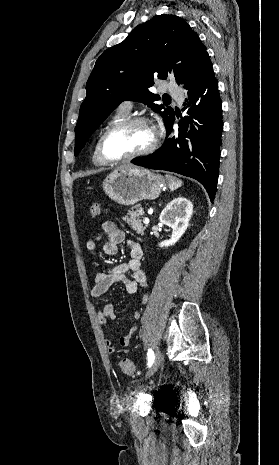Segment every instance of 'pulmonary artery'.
<instances>
[{
	"mask_svg": "<svg viewBox=\"0 0 279 465\" xmlns=\"http://www.w3.org/2000/svg\"><path fill=\"white\" fill-rule=\"evenodd\" d=\"M169 92L172 96H174L179 102L182 101L183 99V94L182 91L175 87V86H170L169 87ZM120 108H122L125 111H130L132 109V103L130 101H125L120 105Z\"/></svg>",
	"mask_w": 279,
	"mask_h": 465,
	"instance_id": "obj_1",
	"label": "pulmonary artery"
}]
</instances>
